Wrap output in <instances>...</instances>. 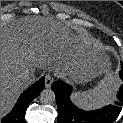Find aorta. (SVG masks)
Listing matches in <instances>:
<instances>
[{
    "instance_id": "1",
    "label": "aorta",
    "mask_w": 123,
    "mask_h": 123,
    "mask_svg": "<svg viewBox=\"0 0 123 123\" xmlns=\"http://www.w3.org/2000/svg\"><path fill=\"white\" fill-rule=\"evenodd\" d=\"M55 100V94L51 89H44L40 94V101L43 104H52Z\"/></svg>"
}]
</instances>
